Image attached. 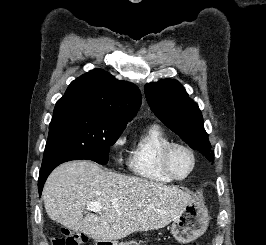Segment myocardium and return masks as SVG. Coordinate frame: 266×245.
Returning <instances> with one entry per match:
<instances>
[{
    "instance_id": "f54148a6",
    "label": "myocardium",
    "mask_w": 266,
    "mask_h": 245,
    "mask_svg": "<svg viewBox=\"0 0 266 245\" xmlns=\"http://www.w3.org/2000/svg\"><path fill=\"white\" fill-rule=\"evenodd\" d=\"M184 149L186 150L192 157L193 160V164H192V168L189 171V173L184 176V177H179L175 174L173 168H172V164H171V156L173 154V152L176 149ZM161 162H162V166L164 171L175 181H183L186 180L188 178H190L193 173L195 172L196 168H197V163H198V158H197V154L195 152V150L190 147L187 144L181 143V142H171L169 143L163 150L161 153Z\"/></svg>"
}]
</instances>
